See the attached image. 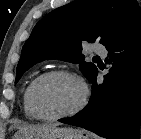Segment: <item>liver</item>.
Segmentation results:
<instances>
[{
	"label": "liver",
	"mask_w": 141,
	"mask_h": 139,
	"mask_svg": "<svg viewBox=\"0 0 141 139\" xmlns=\"http://www.w3.org/2000/svg\"><path fill=\"white\" fill-rule=\"evenodd\" d=\"M58 124H53V123H47V124H40V125H24V126H19V133H26L28 131L37 129V128H42V127H50V126H57Z\"/></svg>",
	"instance_id": "6515ba94"
}]
</instances>
